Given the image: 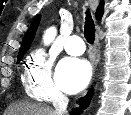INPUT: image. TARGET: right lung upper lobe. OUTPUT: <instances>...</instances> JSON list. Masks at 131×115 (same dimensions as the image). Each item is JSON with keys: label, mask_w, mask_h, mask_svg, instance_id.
<instances>
[{"label": "right lung upper lobe", "mask_w": 131, "mask_h": 115, "mask_svg": "<svg viewBox=\"0 0 131 115\" xmlns=\"http://www.w3.org/2000/svg\"><path fill=\"white\" fill-rule=\"evenodd\" d=\"M103 12H104V0H100V4H99V6L96 10V14H95L96 18L98 20L101 19ZM40 19H41V17H40V15H38L35 17V19L31 23V26L29 27L28 31L26 32V34L23 38L22 45H21L20 51L18 53V56L25 54L26 51L29 49V47L34 39Z\"/></svg>", "instance_id": "right-lung-upper-lobe-1"}]
</instances>
